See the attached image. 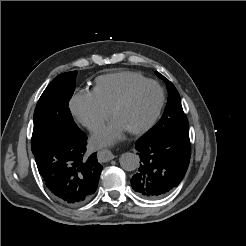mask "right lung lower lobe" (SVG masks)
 Instances as JSON below:
<instances>
[{
  "label": "right lung lower lobe",
  "instance_id": "1",
  "mask_svg": "<svg viewBox=\"0 0 246 246\" xmlns=\"http://www.w3.org/2000/svg\"><path fill=\"white\" fill-rule=\"evenodd\" d=\"M87 136L78 127L59 133L33 150L39 174L62 203L77 205L95 193L102 166L96 154L86 155Z\"/></svg>",
  "mask_w": 246,
  "mask_h": 246
}]
</instances>
